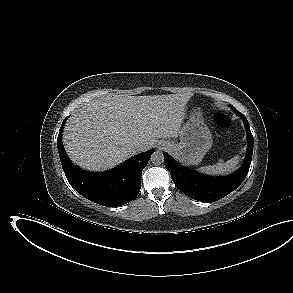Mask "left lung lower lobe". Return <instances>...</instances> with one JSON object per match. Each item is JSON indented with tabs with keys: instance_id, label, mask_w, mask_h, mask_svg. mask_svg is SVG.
I'll return each mask as SVG.
<instances>
[{
	"instance_id": "left-lung-lower-lobe-1",
	"label": "left lung lower lobe",
	"mask_w": 293,
	"mask_h": 293,
	"mask_svg": "<svg viewBox=\"0 0 293 293\" xmlns=\"http://www.w3.org/2000/svg\"><path fill=\"white\" fill-rule=\"evenodd\" d=\"M236 114L245 124L248 146L243 165L233 174L225 177L206 176L178 164L167 153H163L165 167L170 171L173 182L188 197L203 202L218 201L234 191L248 174L253 154V135L246 116L240 112Z\"/></svg>"
}]
</instances>
